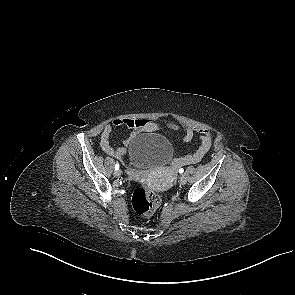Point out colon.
<instances>
[{"mask_svg":"<svg viewBox=\"0 0 295 295\" xmlns=\"http://www.w3.org/2000/svg\"><path fill=\"white\" fill-rule=\"evenodd\" d=\"M134 211L141 217L148 218L158 209L161 199L154 191L139 187L136 188L131 197Z\"/></svg>","mask_w":295,"mask_h":295,"instance_id":"obj_1","label":"colon"}]
</instances>
